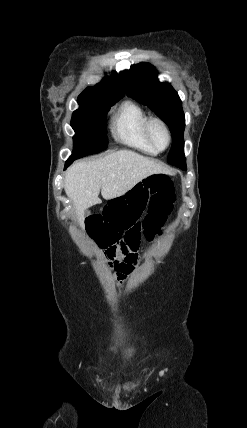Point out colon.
<instances>
[{
  "label": "colon",
  "mask_w": 247,
  "mask_h": 428,
  "mask_svg": "<svg viewBox=\"0 0 247 428\" xmlns=\"http://www.w3.org/2000/svg\"><path fill=\"white\" fill-rule=\"evenodd\" d=\"M174 200L172 180L163 175L150 176L128 194H116L109 204H102L101 212H89L88 233L93 235L96 247H104L110 264L120 253L129 259L137 258L142 233L150 239L159 231ZM85 239L89 242L92 238L88 235Z\"/></svg>",
  "instance_id": "1"
}]
</instances>
